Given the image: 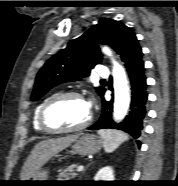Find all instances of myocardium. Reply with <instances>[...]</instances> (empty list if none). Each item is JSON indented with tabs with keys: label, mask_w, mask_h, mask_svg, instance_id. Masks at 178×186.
I'll use <instances>...</instances> for the list:
<instances>
[{
	"label": "myocardium",
	"mask_w": 178,
	"mask_h": 186,
	"mask_svg": "<svg viewBox=\"0 0 178 186\" xmlns=\"http://www.w3.org/2000/svg\"><path fill=\"white\" fill-rule=\"evenodd\" d=\"M68 97H75V98H78L86 102L83 95L76 91H67V92L58 93V94L53 95L49 99H47L41 106L40 111H39V116H38L39 125L44 132L50 133V134L74 133V132L82 131L90 125L92 121V117H93L91 109H89V114L86 120L82 124L76 127L66 128V129H57V128L51 127L47 123L46 114H47L48 109L51 107V105H53L55 102L61 99L68 98Z\"/></svg>",
	"instance_id": "obj_1"
}]
</instances>
